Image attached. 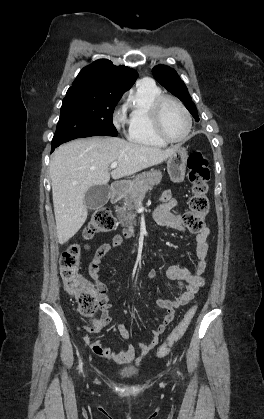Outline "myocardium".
Masks as SVG:
<instances>
[{
  "label": "myocardium",
  "mask_w": 264,
  "mask_h": 419,
  "mask_svg": "<svg viewBox=\"0 0 264 419\" xmlns=\"http://www.w3.org/2000/svg\"><path fill=\"white\" fill-rule=\"evenodd\" d=\"M169 101L175 103L181 109V111L184 113L186 117L187 129H186L185 134L181 138H172L168 136L163 129L162 111H163V107L165 103ZM151 113H152L153 129H154L155 134L160 140H162L165 143H181L188 138L192 130V117H191L190 112L186 108V106L178 98L172 95H168V94L159 95L152 104Z\"/></svg>",
  "instance_id": "1"
}]
</instances>
